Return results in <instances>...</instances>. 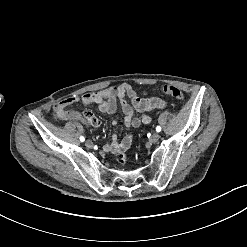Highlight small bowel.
I'll use <instances>...</instances> for the list:
<instances>
[{
	"label": "small bowel",
	"instance_id": "c3829d8e",
	"mask_svg": "<svg viewBox=\"0 0 247 247\" xmlns=\"http://www.w3.org/2000/svg\"><path fill=\"white\" fill-rule=\"evenodd\" d=\"M77 101H80L85 106L95 105L101 112L106 114H114L119 103L124 114L123 123L128 128H138L141 125L150 124L152 117L148 112L166 107L164 100L140 94L130 84L121 83L97 92L83 94L79 98L70 97L59 101L55 105L57 116L63 120H80L91 127L98 125L99 121L90 111L66 110L68 106ZM135 111L142 113V116L135 117ZM112 124L117 125L118 121L113 120ZM132 142V133L127 134L121 141H119L117 133H113L111 140L104 146V149L107 152L116 153V161L120 165H126L129 161L125 159V150L130 148Z\"/></svg>",
	"mask_w": 247,
	"mask_h": 247
}]
</instances>
